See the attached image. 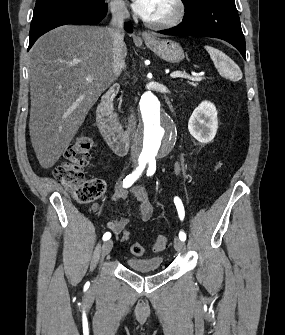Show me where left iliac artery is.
Masks as SVG:
<instances>
[{"label":"left iliac artery","instance_id":"1","mask_svg":"<svg viewBox=\"0 0 285 335\" xmlns=\"http://www.w3.org/2000/svg\"><path fill=\"white\" fill-rule=\"evenodd\" d=\"M148 163H149V165H148V170H147V176H152L156 171V161H155V159H149ZM174 203L176 205V208H177L178 215H179L180 219L183 220L184 216H185V211H184V207H183V204H182L181 200L178 197H175L174 198ZM179 238L182 241H185L186 240V234L183 231H180Z\"/></svg>","mask_w":285,"mask_h":335}]
</instances>
